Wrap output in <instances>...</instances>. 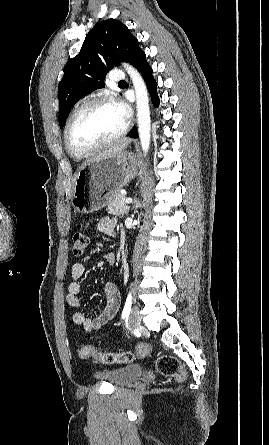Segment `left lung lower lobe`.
Masks as SVG:
<instances>
[{"label": "left lung lower lobe", "instance_id": "obj_1", "mask_svg": "<svg viewBox=\"0 0 269 445\" xmlns=\"http://www.w3.org/2000/svg\"><path fill=\"white\" fill-rule=\"evenodd\" d=\"M134 67H136L141 72V75L144 81L146 82L149 94L151 96V101L155 107H158L159 98L157 95V83L152 75V68L148 64L144 52L140 55L139 59L134 64ZM129 136L131 138H137L138 137L137 130L134 129Z\"/></svg>", "mask_w": 269, "mask_h": 445}]
</instances>
